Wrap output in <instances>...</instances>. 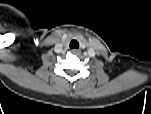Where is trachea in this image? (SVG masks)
<instances>
[{
    "label": "trachea",
    "instance_id": "1",
    "mask_svg": "<svg viewBox=\"0 0 151 114\" xmlns=\"http://www.w3.org/2000/svg\"><path fill=\"white\" fill-rule=\"evenodd\" d=\"M70 49H78L79 48V42L75 39L71 40L69 43Z\"/></svg>",
    "mask_w": 151,
    "mask_h": 114
}]
</instances>
